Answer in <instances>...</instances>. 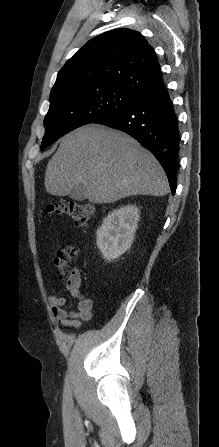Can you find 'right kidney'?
Masks as SVG:
<instances>
[{
  "mask_svg": "<svg viewBox=\"0 0 219 447\" xmlns=\"http://www.w3.org/2000/svg\"><path fill=\"white\" fill-rule=\"evenodd\" d=\"M139 218V209L127 205L113 210L103 220L96 232V244L105 259H117L131 247Z\"/></svg>",
  "mask_w": 219,
  "mask_h": 447,
  "instance_id": "right-kidney-1",
  "label": "right kidney"
}]
</instances>
